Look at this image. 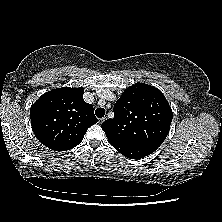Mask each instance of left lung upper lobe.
<instances>
[{
	"mask_svg": "<svg viewBox=\"0 0 222 222\" xmlns=\"http://www.w3.org/2000/svg\"><path fill=\"white\" fill-rule=\"evenodd\" d=\"M173 113L163 93L148 84L128 87L114 105V118L103 131L111 145L156 150L167 137Z\"/></svg>",
	"mask_w": 222,
	"mask_h": 222,
	"instance_id": "obj_1",
	"label": "left lung upper lobe"
}]
</instances>
